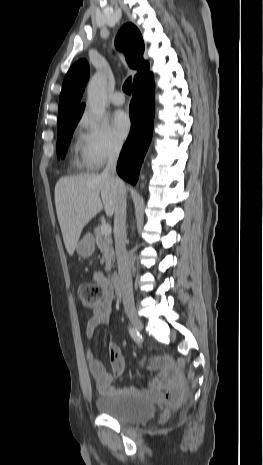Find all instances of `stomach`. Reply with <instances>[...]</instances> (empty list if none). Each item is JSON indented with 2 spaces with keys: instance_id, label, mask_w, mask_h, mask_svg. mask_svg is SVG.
Wrapping results in <instances>:
<instances>
[{
  "instance_id": "0dacf381",
  "label": "stomach",
  "mask_w": 263,
  "mask_h": 465,
  "mask_svg": "<svg viewBox=\"0 0 263 465\" xmlns=\"http://www.w3.org/2000/svg\"><path fill=\"white\" fill-rule=\"evenodd\" d=\"M76 251L83 258L90 257L95 251L94 239L90 234L84 235L76 245Z\"/></svg>"
}]
</instances>
